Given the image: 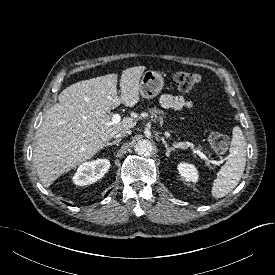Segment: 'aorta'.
Returning <instances> with one entry per match:
<instances>
[{"instance_id": "aorta-1", "label": "aorta", "mask_w": 275, "mask_h": 275, "mask_svg": "<svg viewBox=\"0 0 275 275\" xmlns=\"http://www.w3.org/2000/svg\"><path fill=\"white\" fill-rule=\"evenodd\" d=\"M134 149L138 155L147 156L152 153L153 145L149 140L141 139L135 144Z\"/></svg>"}]
</instances>
